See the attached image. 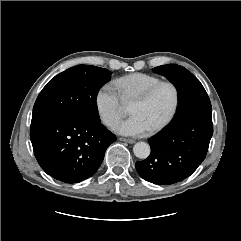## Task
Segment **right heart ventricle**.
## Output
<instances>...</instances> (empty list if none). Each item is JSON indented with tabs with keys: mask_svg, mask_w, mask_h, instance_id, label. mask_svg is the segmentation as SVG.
<instances>
[{
	"mask_svg": "<svg viewBox=\"0 0 241 241\" xmlns=\"http://www.w3.org/2000/svg\"><path fill=\"white\" fill-rule=\"evenodd\" d=\"M160 81L161 79L155 75L147 73H132L113 81V87L120 100L129 103Z\"/></svg>",
	"mask_w": 241,
	"mask_h": 241,
	"instance_id": "right-heart-ventricle-1",
	"label": "right heart ventricle"
}]
</instances>
